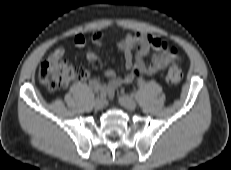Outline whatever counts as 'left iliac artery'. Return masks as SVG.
<instances>
[{"label": "left iliac artery", "mask_w": 231, "mask_h": 170, "mask_svg": "<svg viewBox=\"0 0 231 170\" xmlns=\"http://www.w3.org/2000/svg\"><path fill=\"white\" fill-rule=\"evenodd\" d=\"M138 85L140 86V87H142L143 85H144V81H139V83H138Z\"/></svg>", "instance_id": "44dca946"}]
</instances>
